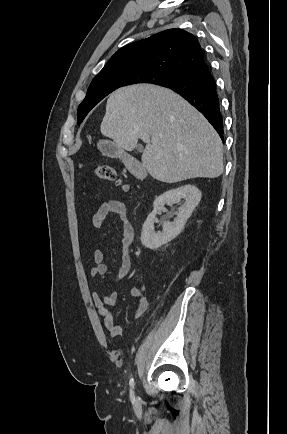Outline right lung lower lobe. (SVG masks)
Wrapping results in <instances>:
<instances>
[{
	"label": "right lung lower lobe",
	"instance_id": "right-lung-lower-lobe-1",
	"mask_svg": "<svg viewBox=\"0 0 287 434\" xmlns=\"http://www.w3.org/2000/svg\"><path fill=\"white\" fill-rule=\"evenodd\" d=\"M184 97L199 110L223 139V117L215 80L207 62L184 72L174 83L165 86Z\"/></svg>",
	"mask_w": 287,
	"mask_h": 434
}]
</instances>
